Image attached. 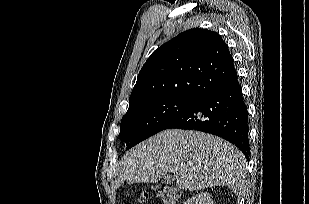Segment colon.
Returning a JSON list of instances; mask_svg holds the SVG:
<instances>
[{
	"instance_id": "obj_1",
	"label": "colon",
	"mask_w": 309,
	"mask_h": 204,
	"mask_svg": "<svg viewBox=\"0 0 309 204\" xmlns=\"http://www.w3.org/2000/svg\"><path fill=\"white\" fill-rule=\"evenodd\" d=\"M157 195L163 201L164 204H176L179 198V191L175 187L160 185L157 187ZM146 198H147V192H141L138 197L140 201H143Z\"/></svg>"
}]
</instances>
